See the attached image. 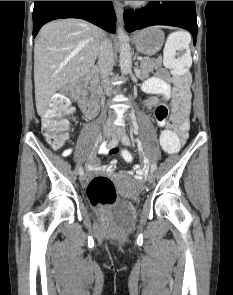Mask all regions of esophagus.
I'll list each match as a JSON object with an SVG mask.
<instances>
[{"label": "esophagus", "mask_w": 233, "mask_h": 295, "mask_svg": "<svg viewBox=\"0 0 233 295\" xmlns=\"http://www.w3.org/2000/svg\"><path fill=\"white\" fill-rule=\"evenodd\" d=\"M114 9H115V13H116L118 22L122 23L123 22V9L118 5H115Z\"/></svg>", "instance_id": "34e87169"}]
</instances>
